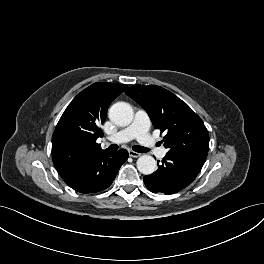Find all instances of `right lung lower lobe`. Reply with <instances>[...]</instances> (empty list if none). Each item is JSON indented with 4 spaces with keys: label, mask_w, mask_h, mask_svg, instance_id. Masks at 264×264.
Returning a JSON list of instances; mask_svg holds the SVG:
<instances>
[{
    "label": "right lung lower lobe",
    "mask_w": 264,
    "mask_h": 264,
    "mask_svg": "<svg viewBox=\"0 0 264 264\" xmlns=\"http://www.w3.org/2000/svg\"><path fill=\"white\" fill-rule=\"evenodd\" d=\"M127 159L128 152L124 149L117 152L107 150L60 175L77 192H100L112 184Z\"/></svg>",
    "instance_id": "right-lung-lower-lobe-1"
}]
</instances>
